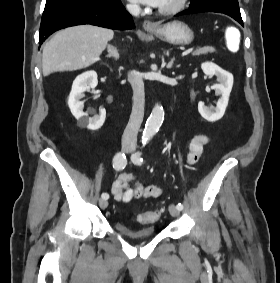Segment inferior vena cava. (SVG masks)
<instances>
[{"label": "inferior vena cava", "instance_id": "1", "mask_svg": "<svg viewBox=\"0 0 280 283\" xmlns=\"http://www.w3.org/2000/svg\"><path fill=\"white\" fill-rule=\"evenodd\" d=\"M127 10L133 16H138L141 11L140 7L136 4L127 5ZM128 80L133 89V107L129 122L122 136V144L135 147L137 144V134L144 116V83L141 75L137 71H131L128 74Z\"/></svg>", "mask_w": 280, "mask_h": 283}]
</instances>
